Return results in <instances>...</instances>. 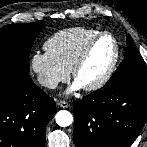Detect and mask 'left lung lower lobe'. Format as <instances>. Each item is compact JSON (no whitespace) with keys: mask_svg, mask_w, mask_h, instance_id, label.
Masks as SVG:
<instances>
[{"mask_svg":"<svg viewBox=\"0 0 147 147\" xmlns=\"http://www.w3.org/2000/svg\"><path fill=\"white\" fill-rule=\"evenodd\" d=\"M77 147H129L147 118V82L105 85L73 110Z\"/></svg>","mask_w":147,"mask_h":147,"instance_id":"left-lung-lower-lobe-1","label":"left lung lower lobe"}]
</instances>
